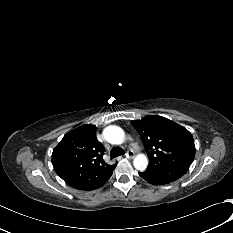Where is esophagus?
Returning a JSON list of instances; mask_svg holds the SVG:
<instances>
[{"label":"esophagus","instance_id":"1","mask_svg":"<svg viewBox=\"0 0 233 233\" xmlns=\"http://www.w3.org/2000/svg\"><path fill=\"white\" fill-rule=\"evenodd\" d=\"M134 156H135V154L133 151H127V153H126L127 158H134Z\"/></svg>","mask_w":233,"mask_h":233}]
</instances>
